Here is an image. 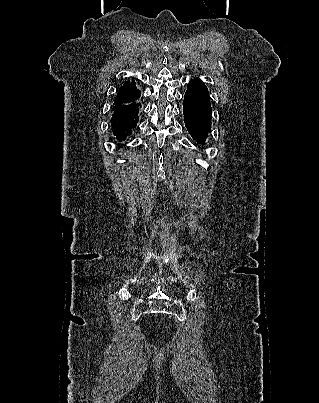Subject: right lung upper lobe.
<instances>
[{"label": "right lung upper lobe", "instance_id": "1", "mask_svg": "<svg viewBox=\"0 0 319 403\" xmlns=\"http://www.w3.org/2000/svg\"><path fill=\"white\" fill-rule=\"evenodd\" d=\"M139 92L140 90L136 88L135 81L133 80L132 82H130L128 80L120 87L118 94L115 98L114 104L122 103L127 99L137 95Z\"/></svg>", "mask_w": 319, "mask_h": 403}]
</instances>
